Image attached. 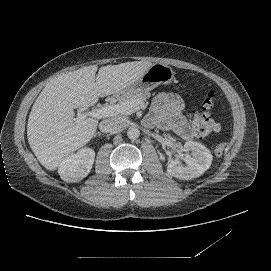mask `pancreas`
Returning a JSON list of instances; mask_svg holds the SVG:
<instances>
[{"instance_id": "pancreas-1", "label": "pancreas", "mask_w": 271, "mask_h": 271, "mask_svg": "<svg viewBox=\"0 0 271 271\" xmlns=\"http://www.w3.org/2000/svg\"><path fill=\"white\" fill-rule=\"evenodd\" d=\"M148 97H150V94L146 93V92L125 94L118 101H119V104L126 103V102H131V103L135 104L134 102L142 103Z\"/></svg>"}]
</instances>
